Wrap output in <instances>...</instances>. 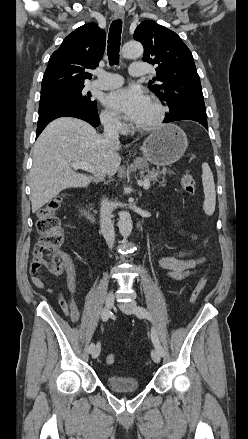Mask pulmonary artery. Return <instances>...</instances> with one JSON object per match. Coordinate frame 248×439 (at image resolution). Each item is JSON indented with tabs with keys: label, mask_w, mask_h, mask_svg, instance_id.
Masks as SVG:
<instances>
[{
	"label": "pulmonary artery",
	"mask_w": 248,
	"mask_h": 439,
	"mask_svg": "<svg viewBox=\"0 0 248 439\" xmlns=\"http://www.w3.org/2000/svg\"><path fill=\"white\" fill-rule=\"evenodd\" d=\"M130 75L139 77L145 74L144 63L133 62L129 69ZM97 78L91 82V86L96 89L110 90L119 87L123 83V79L119 74L96 71Z\"/></svg>",
	"instance_id": "pulmonary-artery-1"
}]
</instances>
